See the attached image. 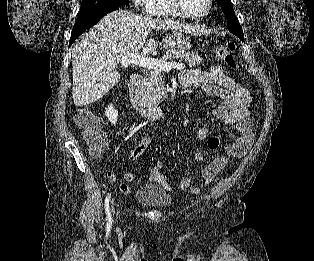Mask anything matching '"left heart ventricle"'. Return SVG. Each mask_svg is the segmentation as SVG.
Here are the masks:
<instances>
[{
	"label": "left heart ventricle",
	"instance_id": "obj_1",
	"mask_svg": "<svg viewBox=\"0 0 314 261\" xmlns=\"http://www.w3.org/2000/svg\"><path fill=\"white\" fill-rule=\"evenodd\" d=\"M182 6L190 13H203L208 7V0H180Z\"/></svg>",
	"mask_w": 314,
	"mask_h": 261
}]
</instances>
